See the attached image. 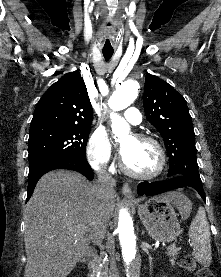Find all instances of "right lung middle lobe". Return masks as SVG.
I'll return each instance as SVG.
<instances>
[{
	"instance_id": "right-lung-middle-lobe-1",
	"label": "right lung middle lobe",
	"mask_w": 221,
	"mask_h": 277,
	"mask_svg": "<svg viewBox=\"0 0 221 277\" xmlns=\"http://www.w3.org/2000/svg\"><path fill=\"white\" fill-rule=\"evenodd\" d=\"M91 126H30L28 141L29 176L40 169L72 158L86 157V144Z\"/></svg>"
}]
</instances>
